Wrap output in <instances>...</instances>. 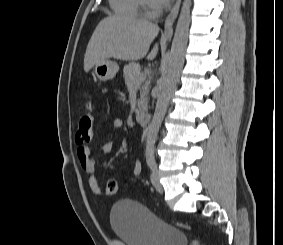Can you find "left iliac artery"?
I'll return each instance as SVG.
<instances>
[{
    "instance_id": "left-iliac-artery-1",
    "label": "left iliac artery",
    "mask_w": 283,
    "mask_h": 245,
    "mask_svg": "<svg viewBox=\"0 0 283 245\" xmlns=\"http://www.w3.org/2000/svg\"><path fill=\"white\" fill-rule=\"evenodd\" d=\"M146 162L150 169L156 168V161L154 157V150L152 148L147 149L146 151Z\"/></svg>"
}]
</instances>
